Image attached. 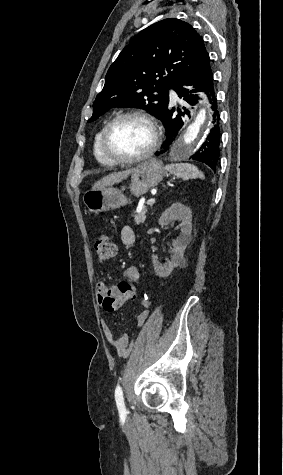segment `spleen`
Returning a JSON list of instances; mask_svg holds the SVG:
<instances>
[{"label": "spleen", "instance_id": "3e777b00", "mask_svg": "<svg viewBox=\"0 0 283 475\" xmlns=\"http://www.w3.org/2000/svg\"><path fill=\"white\" fill-rule=\"evenodd\" d=\"M165 170L170 174H174L177 178H182V180H196V178L205 180L203 172H200L192 164H168V166H165Z\"/></svg>", "mask_w": 283, "mask_h": 475}]
</instances>
